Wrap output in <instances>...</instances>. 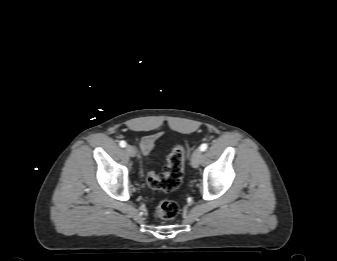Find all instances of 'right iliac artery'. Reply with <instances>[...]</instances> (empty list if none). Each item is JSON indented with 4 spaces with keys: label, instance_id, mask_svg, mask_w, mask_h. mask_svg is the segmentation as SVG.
Here are the masks:
<instances>
[{
    "label": "right iliac artery",
    "instance_id": "obj_1",
    "mask_svg": "<svg viewBox=\"0 0 337 261\" xmlns=\"http://www.w3.org/2000/svg\"><path fill=\"white\" fill-rule=\"evenodd\" d=\"M119 145H120L121 147H125V146H126V142H125V141H120Z\"/></svg>",
    "mask_w": 337,
    "mask_h": 261
}]
</instances>
